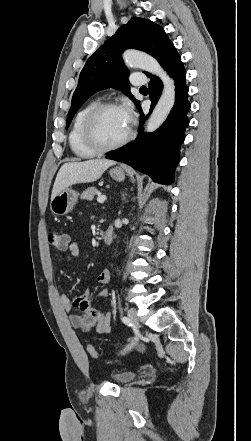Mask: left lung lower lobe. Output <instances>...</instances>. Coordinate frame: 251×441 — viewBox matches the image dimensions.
Here are the masks:
<instances>
[{"mask_svg": "<svg viewBox=\"0 0 251 441\" xmlns=\"http://www.w3.org/2000/svg\"><path fill=\"white\" fill-rule=\"evenodd\" d=\"M175 81V104L163 125L153 133H143L145 116L140 105V130L136 139L106 156L124 162L134 169L148 174L160 184L168 185L174 180V171L179 162L180 146L185 139V129L189 124L187 113L191 107L185 83L186 71L181 57L173 46L161 64ZM151 107L156 105L163 89L162 81L151 76L148 84ZM147 115V117L149 116Z\"/></svg>", "mask_w": 251, "mask_h": 441, "instance_id": "0a47b994", "label": "left lung lower lobe"}]
</instances>
